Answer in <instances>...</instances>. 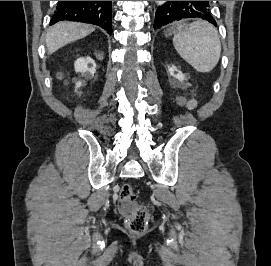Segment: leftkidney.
<instances>
[{"instance_id":"1","label":"left kidney","mask_w":271,"mask_h":266,"mask_svg":"<svg viewBox=\"0 0 271 266\" xmlns=\"http://www.w3.org/2000/svg\"><path fill=\"white\" fill-rule=\"evenodd\" d=\"M168 71H169L171 76L175 77L179 81L182 82L184 80L183 73L181 71L177 70V68L175 66L168 67ZM175 72H177V73L175 74Z\"/></svg>"}]
</instances>
